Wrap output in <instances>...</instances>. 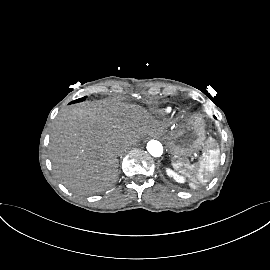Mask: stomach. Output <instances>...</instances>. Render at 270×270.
<instances>
[{
    "mask_svg": "<svg viewBox=\"0 0 270 270\" xmlns=\"http://www.w3.org/2000/svg\"><path fill=\"white\" fill-rule=\"evenodd\" d=\"M163 138L172 154V164L184 163L203 145L205 140L204 122L195 116L184 118L177 122L171 131L164 133Z\"/></svg>",
    "mask_w": 270,
    "mask_h": 270,
    "instance_id": "stomach-1",
    "label": "stomach"
}]
</instances>
